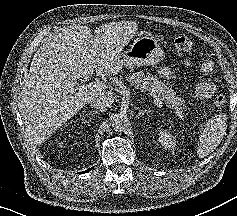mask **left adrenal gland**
<instances>
[{"instance_id":"1","label":"left adrenal gland","mask_w":237,"mask_h":216,"mask_svg":"<svg viewBox=\"0 0 237 216\" xmlns=\"http://www.w3.org/2000/svg\"><path fill=\"white\" fill-rule=\"evenodd\" d=\"M137 110H138V116H137L138 120L140 117L144 116L145 111H142L140 108H137Z\"/></svg>"}]
</instances>
